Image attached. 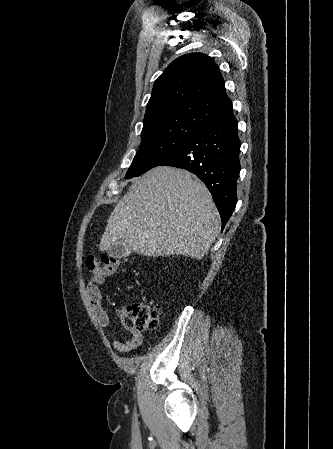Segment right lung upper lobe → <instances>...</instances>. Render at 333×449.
<instances>
[{"mask_svg":"<svg viewBox=\"0 0 333 449\" xmlns=\"http://www.w3.org/2000/svg\"><path fill=\"white\" fill-rule=\"evenodd\" d=\"M218 65L202 53L174 60L155 81L143 132L189 123L201 128L233 112Z\"/></svg>","mask_w":333,"mask_h":449,"instance_id":"1","label":"right lung upper lobe"}]
</instances>
